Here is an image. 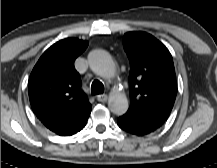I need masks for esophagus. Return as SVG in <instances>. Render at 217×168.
Listing matches in <instances>:
<instances>
[{
  "mask_svg": "<svg viewBox=\"0 0 217 168\" xmlns=\"http://www.w3.org/2000/svg\"><path fill=\"white\" fill-rule=\"evenodd\" d=\"M97 100L99 102H106L108 100V96L106 94H100L97 96Z\"/></svg>",
  "mask_w": 217,
  "mask_h": 168,
  "instance_id": "esophagus-1",
  "label": "esophagus"
}]
</instances>
